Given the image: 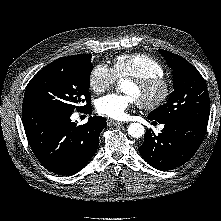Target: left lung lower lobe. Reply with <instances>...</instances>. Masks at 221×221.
I'll return each mask as SVG.
<instances>
[{
	"instance_id": "left-lung-lower-lobe-1",
	"label": "left lung lower lobe",
	"mask_w": 221,
	"mask_h": 221,
	"mask_svg": "<svg viewBox=\"0 0 221 221\" xmlns=\"http://www.w3.org/2000/svg\"><path fill=\"white\" fill-rule=\"evenodd\" d=\"M159 123L164 124L162 132L155 135L151 129H147L139 153L158 170H170L183 165L199 148L207 124L186 120Z\"/></svg>"
}]
</instances>
